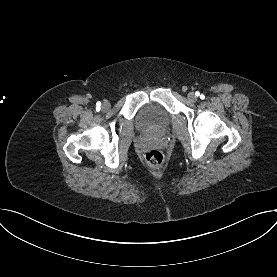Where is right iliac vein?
<instances>
[{
  "instance_id": "right-iliac-vein-1",
  "label": "right iliac vein",
  "mask_w": 277,
  "mask_h": 277,
  "mask_svg": "<svg viewBox=\"0 0 277 277\" xmlns=\"http://www.w3.org/2000/svg\"><path fill=\"white\" fill-rule=\"evenodd\" d=\"M110 108V103L109 102H104L102 105V110L107 111Z\"/></svg>"
}]
</instances>
